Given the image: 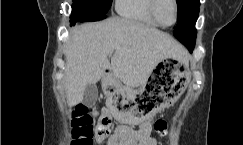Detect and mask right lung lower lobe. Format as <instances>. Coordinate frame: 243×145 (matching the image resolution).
Returning <instances> with one entry per match:
<instances>
[{
  "instance_id": "right-lung-lower-lobe-1",
  "label": "right lung lower lobe",
  "mask_w": 243,
  "mask_h": 145,
  "mask_svg": "<svg viewBox=\"0 0 243 145\" xmlns=\"http://www.w3.org/2000/svg\"><path fill=\"white\" fill-rule=\"evenodd\" d=\"M106 14H101L95 12L90 8H82V7H74L72 6V14L70 16V22L74 25L76 22H84V21H98L106 18Z\"/></svg>"
}]
</instances>
